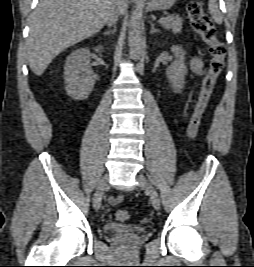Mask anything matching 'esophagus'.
Instances as JSON below:
<instances>
[{"instance_id": "obj_1", "label": "esophagus", "mask_w": 254, "mask_h": 267, "mask_svg": "<svg viewBox=\"0 0 254 267\" xmlns=\"http://www.w3.org/2000/svg\"><path fill=\"white\" fill-rule=\"evenodd\" d=\"M131 1L138 2V1H140V0H131Z\"/></svg>"}]
</instances>
